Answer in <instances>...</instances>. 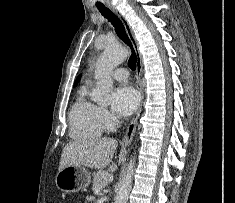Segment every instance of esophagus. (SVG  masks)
I'll use <instances>...</instances> for the list:
<instances>
[{"instance_id": "esophagus-1", "label": "esophagus", "mask_w": 235, "mask_h": 203, "mask_svg": "<svg viewBox=\"0 0 235 203\" xmlns=\"http://www.w3.org/2000/svg\"><path fill=\"white\" fill-rule=\"evenodd\" d=\"M109 8L111 11L122 21L126 33L134 47V50L136 52V77H137V88L140 92V105L139 108L134 115L133 119L131 120L130 124L127 127V131L122 139L121 144L128 146L131 144L135 131H136V126H137V121L141 113L142 109V103H143V98H144V93H143V86H142V56L141 53L139 52L138 49V42L135 38L134 32L132 27L130 26L129 22L124 18V16L113 6L109 5Z\"/></svg>"}]
</instances>
